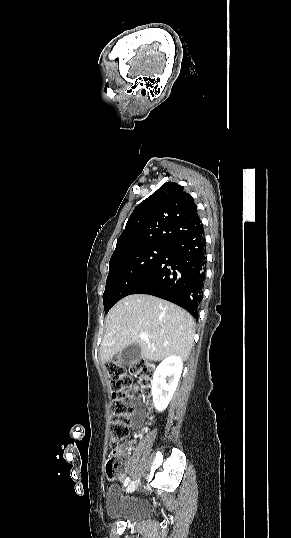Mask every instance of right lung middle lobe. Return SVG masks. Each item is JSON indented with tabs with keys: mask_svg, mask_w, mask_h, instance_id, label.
I'll return each mask as SVG.
<instances>
[{
	"mask_svg": "<svg viewBox=\"0 0 291 538\" xmlns=\"http://www.w3.org/2000/svg\"><path fill=\"white\" fill-rule=\"evenodd\" d=\"M168 248L166 245L146 246L110 259L103 294L105 313L120 299L130 295L161 260Z\"/></svg>",
	"mask_w": 291,
	"mask_h": 538,
	"instance_id": "right-lung-middle-lobe-1",
	"label": "right lung middle lobe"
}]
</instances>
